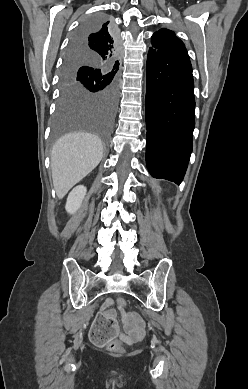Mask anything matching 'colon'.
<instances>
[{"mask_svg": "<svg viewBox=\"0 0 248 389\" xmlns=\"http://www.w3.org/2000/svg\"><path fill=\"white\" fill-rule=\"evenodd\" d=\"M117 304L120 307H125L127 302L124 298H118ZM95 322L91 324V338L95 344H107V349L114 354L121 353L123 351V342L121 340L111 341L110 337H118L119 332L117 330V321L115 318H109L105 315L104 311H95Z\"/></svg>", "mask_w": 248, "mask_h": 389, "instance_id": "obj_1", "label": "colon"}]
</instances>
